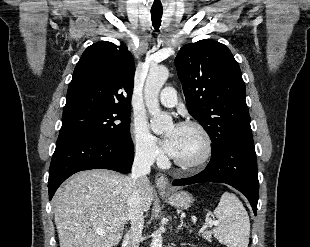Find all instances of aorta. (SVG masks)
Returning a JSON list of instances; mask_svg holds the SVG:
<instances>
[{
  "instance_id": "762f6f07",
  "label": "aorta",
  "mask_w": 310,
  "mask_h": 247,
  "mask_svg": "<svg viewBox=\"0 0 310 247\" xmlns=\"http://www.w3.org/2000/svg\"><path fill=\"white\" fill-rule=\"evenodd\" d=\"M169 70L165 66H158L150 70L144 86V100L151 116L150 126L154 133L168 130L173 122L172 117L162 112L159 106V92L168 79ZM150 247H163L160 230L153 233Z\"/></svg>"
}]
</instances>
